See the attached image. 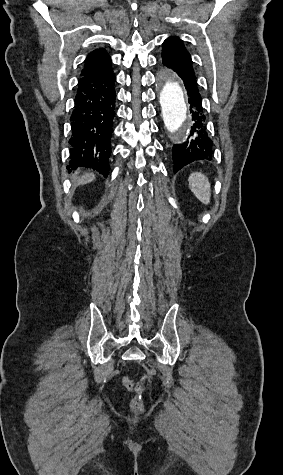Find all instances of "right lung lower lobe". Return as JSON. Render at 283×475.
I'll return each mask as SVG.
<instances>
[{
	"label": "right lung lower lobe",
	"mask_w": 283,
	"mask_h": 475,
	"mask_svg": "<svg viewBox=\"0 0 283 475\" xmlns=\"http://www.w3.org/2000/svg\"><path fill=\"white\" fill-rule=\"evenodd\" d=\"M115 74L112 67L80 74L70 117V166L92 168L105 177L109 171L110 139L115 116Z\"/></svg>",
	"instance_id": "98d812e1"
}]
</instances>
